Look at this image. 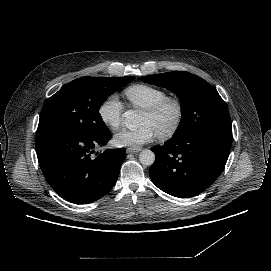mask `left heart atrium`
<instances>
[{
	"mask_svg": "<svg viewBox=\"0 0 271 271\" xmlns=\"http://www.w3.org/2000/svg\"><path fill=\"white\" fill-rule=\"evenodd\" d=\"M154 136L153 129L148 125H143L135 131L123 130L117 133L113 141L117 147L136 150L151 142Z\"/></svg>",
	"mask_w": 271,
	"mask_h": 271,
	"instance_id": "39dd6f15",
	"label": "left heart atrium"
}]
</instances>
